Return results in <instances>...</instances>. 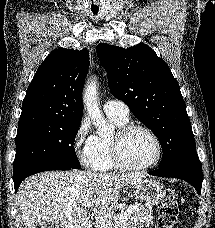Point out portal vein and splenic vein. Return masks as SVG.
<instances>
[{
  "label": "portal vein and splenic vein",
  "mask_w": 215,
  "mask_h": 228,
  "mask_svg": "<svg viewBox=\"0 0 215 228\" xmlns=\"http://www.w3.org/2000/svg\"><path fill=\"white\" fill-rule=\"evenodd\" d=\"M94 204V200H91V202H87V204H83L84 208H87V210H90ZM139 204H133V206H130V208H127L123 214H119V216H116V220H128L130 218L132 212L134 210H138Z\"/></svg>",
  "instance_id": "18ae733b"
}]
</instances>
